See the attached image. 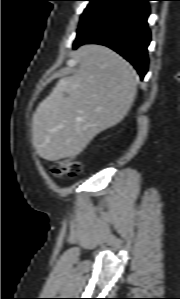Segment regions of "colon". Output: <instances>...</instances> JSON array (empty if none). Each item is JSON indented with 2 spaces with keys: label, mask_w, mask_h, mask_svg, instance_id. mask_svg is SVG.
Listing matches in <instances>:
<instances>
[{
  "label": "colon",
  "mask_w": 180,
  "mask_h": 299,
  "mask_svg": "<svg viewBox=\"0 0 180 299\" xmlns=\"http://www.w3.org/2000/svg\"><path fill=\"white\" fill-rule=\"evenodd\" d=\"M81 164L73 159H61L54 163L51 172L57 177H75L78 176L81 172Z\"/></svg>",
  "instance_id": "5ec220e1"
}]
</instances>
